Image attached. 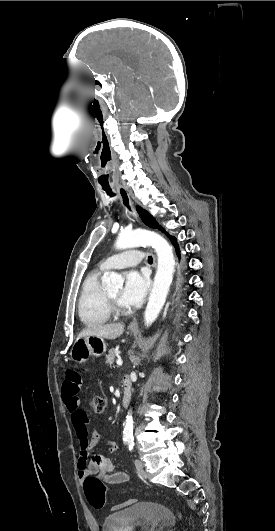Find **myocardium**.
Returning <instances> with one entry per match:
<instances>
[{
	"instance_id": "f54148a6",
	"label": "myocardium",
	"mask_w": 275,
	"mask_h": 531,
	"mask_svg": "<svg viewBox=\"0 0 275 531\" xmlns=\"http://www.w3.org/2000/svg\"><path fill=\"white\" fill-rule=\"evenodd\" d=\"M105 295L110 307V310L114 313H123L125 308L113 297L108 291L105 290Z\"/></svg>"
}]
</instances>
